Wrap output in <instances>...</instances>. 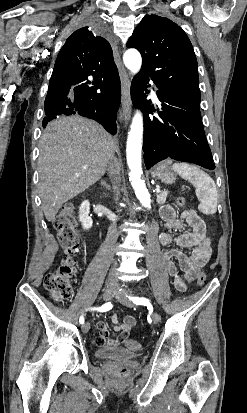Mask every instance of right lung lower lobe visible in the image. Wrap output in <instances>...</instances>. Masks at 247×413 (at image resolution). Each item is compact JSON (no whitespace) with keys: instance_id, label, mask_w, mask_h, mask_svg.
I'll use <instances>...</instances> for the list:
<instances>
[{"instance_id":"1","label":"right lung lower lobe","mask_w":247,"mask_h":413,"mask_svg":"<svg viewBox=\"0 0 247 413\" xmlns=\"http://www.w3.org/2000/svg\"><path fill=\"white\" fill-rule=\"evenodd\" d=\"M88 78H92L89 81ZM93 84L94 86H88ZM121 101L118 71L101 76L71 72L52 74L44 103L43 127L59 115L79 114L100 123L109 133L117 132L116 117Z\"/></svg>"}]
</instances>
